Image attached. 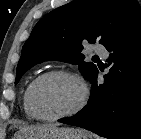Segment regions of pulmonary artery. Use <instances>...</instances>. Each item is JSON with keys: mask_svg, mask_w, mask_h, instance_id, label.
<instances>
[{"mask_svg": "<svg viewBox=\"0 0 141 139\" xmlns=\"http://www.w3.org/2000/svg\"><path fill=\"white\" fill-rule=\"evenodd\" d=\"M93 50L95 53L103 56V57H106L107 56V50L103 47V46H100V45H97V46H94L93 47Z\"/></svg>", "mask_w": 141, "mask_h": 139, "instance_id": "obj_1", "label": "pulmonary artery"}]
</instances>
